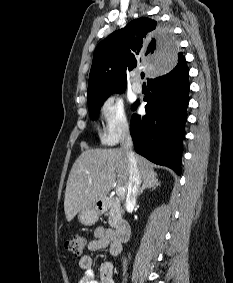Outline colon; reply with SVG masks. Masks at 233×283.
I'll return each instance as SVG.
<instances>
[{
	"instance_id": "obj_1",
	"label": "colon",
	"mask_w": 233,
	"mask_h": 283,
	"mask_svg": "<svg viewBox=\"0 0 233 283\" xmlns=\"http://www.w3.org/2000/svg\"><path fill=\"white\" fill-rule=\"evenodd\" d=\"M86 246V239L82 235H76L65 243V248L74 254L80 256L83 254Z\"/></svg>"
}]
</instances>
